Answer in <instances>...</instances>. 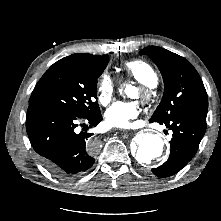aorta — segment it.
I'll list each match as a JSON object with an SVG mask.
<instances>
[{
	"instance_id": "1",
	"label": "aorta",
	"mask_w": 221,
	"mask_h": 221,
	"mask_svg": "<svg viewBox=\"0 0 221 221\" xmlns=\"http://www.w3.org/2000/svg\"><path fill=\"white\" fill-rule=\"evenodd\" d=\"M164 148V140L158 134L140 133L135 137V149L132 153L137 163L146 166L159 158Z\"/></svg>"
}]
</instances>
